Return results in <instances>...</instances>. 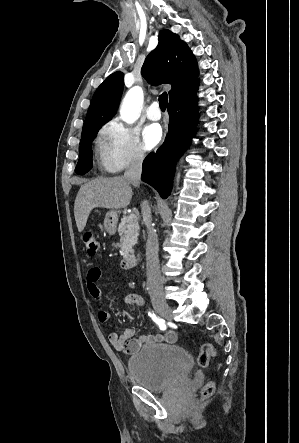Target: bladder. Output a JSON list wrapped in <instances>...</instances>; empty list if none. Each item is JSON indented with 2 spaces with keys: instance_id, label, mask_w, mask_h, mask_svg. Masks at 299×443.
Listing matches in <instances>:
<instances>
[{
  "instance_id": "1",
  "label": "bladder",
  "mask_w": 299,
  "mask_h": 443,
  "mask_svg": "<svg viewBox=\"0 0 299 443\" xmlns=\"http://www.w3.org/2000/svg\"><path fill=\"white\" fill-rule=\"evenodd\" d=\"M191 354L177 344H152L141 348L127 365L132 380L151 391L166 389L190 376Z\"/></svg>"
}]
</instances>
